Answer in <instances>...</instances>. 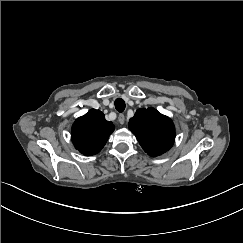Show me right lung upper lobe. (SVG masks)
<instances>
[{
	"instance_id": "1",
	"label": "right lung upper lobe",
	"mask_w": 243,
	"mask_h": 243,
	"mask_svg": "<svg viewBox=\"0 0 243 243\" xmlns=\"http://www.w3.org/2000/svg\"><path fill=\"white\" fill-rule=\"evenodd\" d=\"M113 131V123L107 121L100 110L91 109L74 122L72 142L80 153L91 156L104 147Z\"/></svg>"
}]
</instances>
